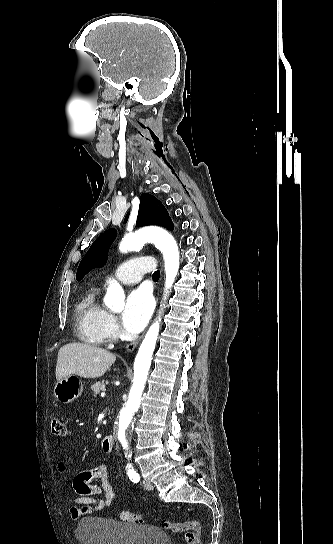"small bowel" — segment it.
<instances>
[{
  "mask_svg": "<svg viewBox=\"0 0 333 544\" xmlns=\"http://www.w3.org/2000/svg\"><path fill=\"white\" fill-rule=\"evenodd\" d=\"M57 470L66 471V463L58 461ZM110 467L100 464L89 470L82 471L73 479V487L78 496L70 501V514L73 519L90 515L108 508L115 498V491L109 481ZM99 480L100 485L94 482Z\"/></svg>",
  "mask_w": 333,
  "mask_h": 544,
  "instance_id": "obj_1",
  "label": "small bowel"
}]
</instances>
